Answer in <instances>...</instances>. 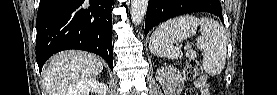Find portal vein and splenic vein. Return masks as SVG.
<instances>
[{"label":"portal vein and splenic vein","mask_w":277,"mask_h":95,"mask_svg":"<svg viewBox=\"0 0 277 95\" xmlns=\"http://www.w3.org/2000/svg\"><path fill=\"white\" fill-rule=\"evenodd\" d=\"M189 46H184V49H188Z\"/></svg>","instance_id":"18ae733b"}]
</instances>
